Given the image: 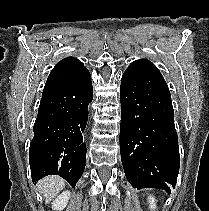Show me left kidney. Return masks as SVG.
Listing matches in <instances>:
<instances>
[{"label": "left kidney", "instance_id": "5707ae66", "mask_svg": "<svg viewBox=\"0 0 209 211\" xmlns=\"http://www.w3.org/2000/svg\"><path fill=\"white\" fill-rule=\"evenodd\" d=\"M148 202H149V207L151 209V211H155L156 209V200L153 196H149L148 197Z\"/></svg>", "mask_w": 209, "mask_h": 211}]
</instances>
